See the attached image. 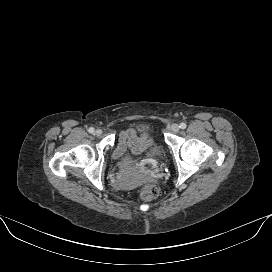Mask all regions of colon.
<instances>
[{
  "mask_svg": "<svg viewBox=\"0 0 272 272\" xmlns=\"http://www.w3.org/2000/svg\"><path fill=\"white\" fill-rule=\"evenodd\" d=\"M159 194L158 187L154 184H146L141 189V198L145 201L156 198Z\"/></svg>",
  "mask_w": 272,
  "mask_h": 272,
  "instance_id": "1",
  "label": "colon"
}]
</instances>
